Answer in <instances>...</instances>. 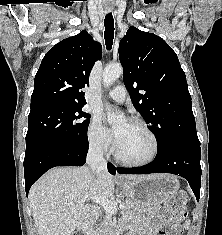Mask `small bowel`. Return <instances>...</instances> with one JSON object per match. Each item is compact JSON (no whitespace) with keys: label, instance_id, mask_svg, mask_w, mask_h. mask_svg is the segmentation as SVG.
<instances>
[{"label":"small bowel","instance_id":"c3829d8e","mask_svg":"<svg viewBox=\"0 0 222 235\" xmlns=\"http://www.w3.org/2000/svg\"><path fill=\"white\" fill-rule=\"evenodd\" d=\"M158 224V217L155 214L149 216L147 221V231L144 229L139 230L134 235H156V228Z\"/></svg>","mask_w":222,"mask_h":235}]
</instances>
